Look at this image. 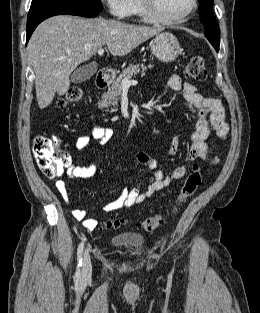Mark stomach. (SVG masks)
Instances as JSON below:
<instances>
[{"mask_svg": "<svg viewBox=\"0 0 260 313\" xmlns=\"http://www.w3.org/2000/svg\"><path fill=\"white\" fill-rule=\"evenodd\" d=\"M152 52L164 63L174 61L181 53L177 38L169 32H161L152 40Z\"/></svg>", "mask_w": 260, "mask_h": 313, "instance_id": "0dacf381", "label": "stomach"}]
</instances>
